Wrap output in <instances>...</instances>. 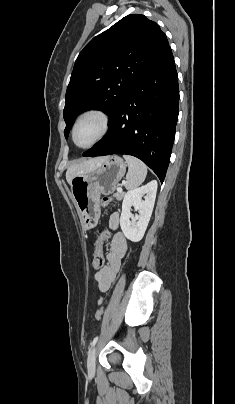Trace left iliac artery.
<instances>
[{"label":"left iliac artery","mask_w":235,"mask_h":404,"mask_svg":"<svg viewBox=\"0 0 235 404\" xmlns=\"http://www.w3.org/2000/svg\"><path fill=\"white\" fill-rule=\"evenodd\" d=\"M97 341H98V336H96V337L93 339V341L90 343L91 348L95 346V344L97 343Z\"/></svg>","instance_id":"left-iliac-artery-1"}]
</instances>
